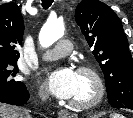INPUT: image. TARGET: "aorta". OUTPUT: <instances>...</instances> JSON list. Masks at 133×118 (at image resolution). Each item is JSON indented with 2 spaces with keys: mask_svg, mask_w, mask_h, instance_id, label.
I'll use <instances>...</instances> for the list:
<instances>
[{
  "mask_svg": "<svg viewBox=\"0 0 133 118\" xmlns=\"http://www.w3.org/2000/svg\"><path fill=\"white\" fill-rule=\"evenodd\" d=\"M64 35V26L60 22H47L39 33L40 45L44 48L51 46Z\"/></svg>",
  "mask_w": 133,
  "mask_h": 118,
  "instance_id": "obj_1",
  "label": "aorta"
}]
</instances>
